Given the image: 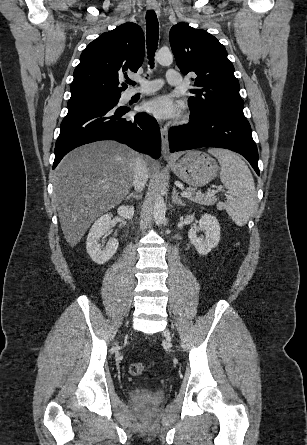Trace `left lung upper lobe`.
Segmentation results:
<instances>
[{
    "label": "left lung upper lobe",
    "mask_w": 307,
    "mask_h": 445,
    "mask_svg": "<svg viewBox=\"0 0 307 445\" xmlns=\"http://www.w3.org/2000/svg\"><path fill=\"white\" fill-rule=\"evenodd\" d=\"M170 44L183 74H196L188 105L190 119L215 113L244 116L239 82L225 47L213 35L178 23L170 30Z\"/></svg>",
    "instance_id": "obj_1"
}]
</instances>
